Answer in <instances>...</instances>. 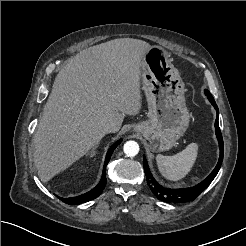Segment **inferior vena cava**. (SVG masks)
<instances>
[{
  "label": "inferior vena cava",
  "mask_w": 246,
  "mask_h": 246,
  "mask_svg": "<svg viewBox=\"0 0 246 246\" xmlns=\"http://www.w3.org/2000/svg\"><path fill=\"white\" fill-rule=\"evenodd\" d=\"M102 131L106 134V133H114L117 131L116 127L114 126V124L106 122L102 125Z\"/></svg>",
  "instance_id": "602c4592"
}]
</instances>
